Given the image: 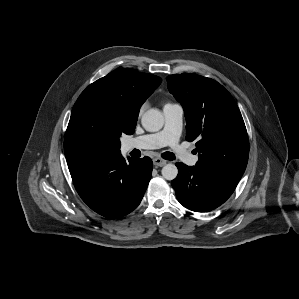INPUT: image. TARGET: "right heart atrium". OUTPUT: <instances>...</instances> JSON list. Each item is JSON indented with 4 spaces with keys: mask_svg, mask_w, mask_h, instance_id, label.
Masks as SVG:
<instances>
[{
    "mask_svg": "<svg viewBox=\"0 0 299 299\" xmlns=\"http://www.w3.org/2000/svg\"><path fill=\"white\" fill-rule=\"evenodd\" d=\"M144 107H145L144 105L140 107V109H139V115L142 114V112H143V110H144Z\"/></svg>",
    "mask_w": 299,
    "mask_h": 299,
    "instance_id": "right-heart-atrium-1",
    "label": "right heart atrium"
}]
</instances>
